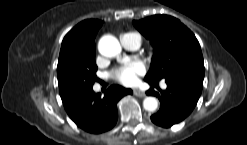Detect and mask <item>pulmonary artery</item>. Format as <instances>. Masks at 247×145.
Returning a JSON list of instances; mask_svg holds the SVG:
<instances>
[{
	"instance_id": "e3ab8cb5",
	"label": "pulmonary artery",
	"mask_w": 247,
	"mask_h": 145,
	"mask_svg": "<svg viewBox=\"0 0 247 145\" xmlns=\"http://www.w3.org/2000/svg\"><path fill=\"white\" fill-rule=\"evenodd\" d=\"M120 41L126 50L134 51L140 47V38L135 33H125L121 35ZM165 87V83L162 84Z\"/></svg>"
}]
</instances>
